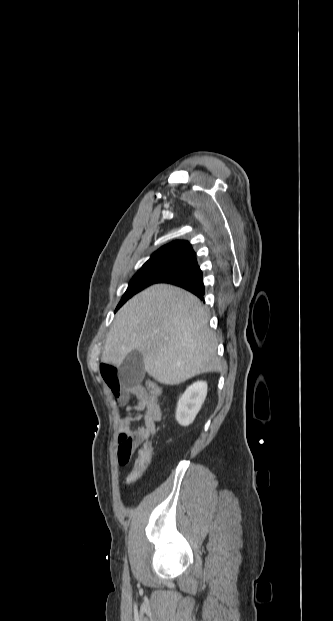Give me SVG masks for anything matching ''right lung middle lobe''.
Returning <instances> with one entry per match:
<instances>
[{
  "label": "right lung middle lobe",
  "instance_id": "right-lung-middle-lobe-1",
  "mask_svg": "<svg viewBox=\"0 0 333 621\" xmlns=\"http://www.w3.org/2000/svg\"><path fill=\"white\" fill-rule=\"evenodd\" d=\"M185 261V259L179 258L147 261L130 281L128 289L118 304L116 311L133 295L149 285L157 283L162 277L177 270Z\"/></svg>",
  "mask_w": 333,
  "mask_h": 621
}]
</instances>
